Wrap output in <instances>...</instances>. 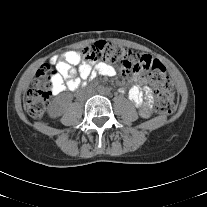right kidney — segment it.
<instances>
[{
	"label": "right kidney",
	"instance_id": "ca27d5eb",
	"mask_svg": "<svg viewBox=\"0 0 207 207\" xmlns=\"http://www.w3.org/2000/svg\"><path fill=\"white\" fill-rule=\"evenodd\" d=\"M48 113L51 118H57L63 114V108L57 103H52Z\"/></svg>",
	"mask_w": 207,
	"mask_h": 207
}]
</instances>
